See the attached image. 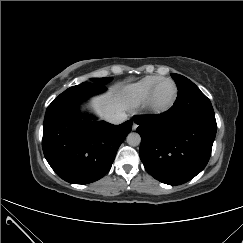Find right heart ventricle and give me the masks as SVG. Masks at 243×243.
<instances>
[{
  "label": "right heart ventricle",
  "instance_id": "1",
  "mask_svg": "<svg viewBox=\"0 0 243 243\" xmlns=\"http://www.w3.org/2000/svg\"><path fill=\"white\" fill-rule=\"evenodd\" d=\"M162 79L164 77L160 75H149L125 86L123 94L127 104L130 107L144 104L153 87Z\"/></svg>",
  "mask_w": 243,
  "mask_h": 243
}]
</instances>
